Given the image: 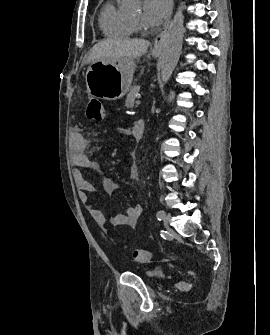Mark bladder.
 I'll list each match as a JSON object with an SVG mask.
<instances>
[{
	"label": "bladder",
	"instance_id": "1",
	"mask_svg": "<svg viewBox=\"0 0 270 335\" xmlns=\"http://www.w3.org/2000/svg\"><path fill=\"white\" fill-rule=\"evenodd\" d=\"M135 272L139 276H141V277H143V278H145V279H147L149 281L155 282V283H156V281L158 279V276H161V275H156L155 273L143 272V271H140V270H135Z\"/></svg>",
	"mask_w": 270,
	"mask_h": 335
}]
</instances>
